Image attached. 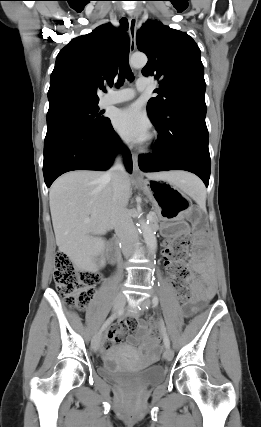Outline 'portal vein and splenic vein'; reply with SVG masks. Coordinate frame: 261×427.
I'll use <instances>...</instances> for the list:
<instances>
[{
  "label": "portal vein and splenic vein",
  "instance_id": "18ae733b",
  "mask_svg": "<svg viewBox=\"0 0 261 427\" xmlns=\"http://www.w3.org/2000/svg\"><path fill=\"white\" fill-rule=\"evenodd\" d=\"M150 217H151V213L148 214L147 218H150Z\"/></svg>",
  "mask_w": 261,
  "mask_h": 427
}]
</instances>
